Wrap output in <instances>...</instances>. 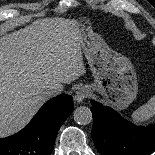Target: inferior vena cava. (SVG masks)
<instances>
[{"label":"inferior vena cava","mask_w":155,"mask_h":155,"mask_svg":"<svg viewBox=\"0 0 155 155\" xmlns=\"http://www.w3.org/2000/svg\"><path fill=\"white\" fill-rule=\"evenodd\" d=\"M62 90L63 87L60 84H51L44 89L43 94L45 95V97L51 98L60 94Z\"/></svg>","instance_id":"602c4592"}]
</instances>
